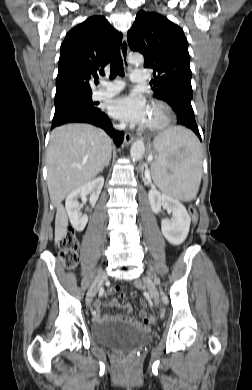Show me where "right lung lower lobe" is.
<instances>
[{"label": "right lung lower lobe", "instance_id": "right-lung-lower-lobe-1", "mask_svg": "<svg viewBox=\"0 0 252 390\" xmlns=\"http://www.w3.org/2000/svg\"><path fill=\"white\" fill-rule=\"evenodd\" d=\"M72 122L89 123L104 129L117 146H120L123 142L124 133L115 130L108 116L98 108L89 109L81 106H67L55 109L51 129Z\"/></svg>", "mask_w": 252, "mask_h": 390}]
</instances>
